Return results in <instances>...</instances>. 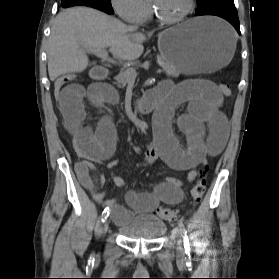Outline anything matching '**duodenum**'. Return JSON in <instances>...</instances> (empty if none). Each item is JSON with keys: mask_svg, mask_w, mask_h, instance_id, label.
Wrapping results in <instances>:
<instances>
[{"mask_svg": "<svg viewBox=\"0 0 279 279\" xmlns=\"http://www.w3.org/2000/svg\"><path fill=\"white\" fill-rule=\"evenodd\" d=\"M90 75L94 79L104 80L109 75V70L97 66L90 71ZM155 104H159V101L146 94L136 101V108L141 113H148L155 108Z\"/></svg>", "mask_w": 279, "mask_h": 279, "instance_id": "obj_1", "label": "duodenum"}]
</instances>
